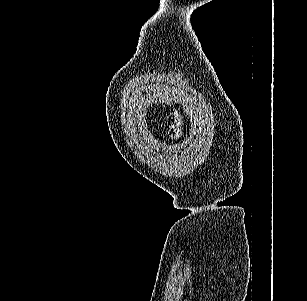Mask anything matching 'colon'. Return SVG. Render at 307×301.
I'll list each match as a JSON object with an SVG mask.
<instances>
[{
    "label": "colon",
    "mask_w": 307,
    "mask_h": 301,
    "mask_svg": "<svg viewBox=\"0 0 307 301\" xmlns=\"http://www.w3.org/2000/svg\"><path fill=\"white\" fill-rule=\"evenodd\" d=\"M180 124V117L176 113L168 118V128L171 137H178L180 132Z\"/></svg>",
    "instance_id": "obj_1"
}]
</instances>
